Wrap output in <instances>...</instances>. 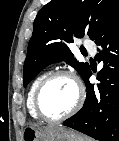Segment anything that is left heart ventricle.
Wrapping results in <instances>:
<instances>
[{
    "instance_id": "obj_1",
    "label": "left heart ventricle",
    "mask_w": 119,
    "mask_h": 141,
    "mask_svg": "<svg viewBox=\"0 0 119 141\" xmlns=\"http://www.w3.org/2000/svg\"><path fill=\"white\" fill-rule=\"evenodd\" d=\"M76 88L68 77H57L50 81L40 96V108L44 115L55 118L66 113L75 103Z\"/></svg>"
}]
</instances>
